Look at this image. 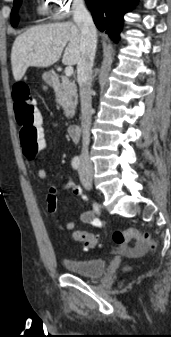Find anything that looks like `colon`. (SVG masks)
Masks as SVG:
<instances>
[{
  "label": "colon",
  "instance_id": "1",
  "mask_svg": "<svg viewBox=\"0 0 171 337\" xmlns=\"http://www.w3.org/2000/svg\"><path fill=\"white\" fill-rule=\"evenodd\" d=\"M13 99L23 153L28 160H34L41 151L50 150V145L46 144L45 126H41V116L34 106L27 84L14 86ZM73 237L87 249L95 248L99 243L98 238L87 231H75ZM112 238L117 246L127 252L140 253L145 248L155 247L151 235L137 229L115 231Z\"/></svg>",
  "mask_w": 171,
  "mask_h": 337
}]
</instances>
